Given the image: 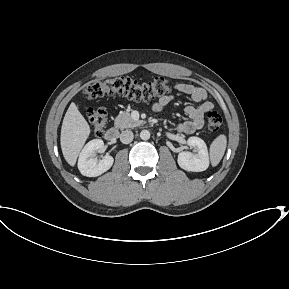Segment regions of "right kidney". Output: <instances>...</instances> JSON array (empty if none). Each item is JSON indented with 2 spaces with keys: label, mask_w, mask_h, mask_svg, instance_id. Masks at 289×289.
<instances>
[{
  "label": "right kidney",
  "mask_w": 289,
  "mask_h": 289,
  "mask_svg": "<svg viewBox=\"0 0 289 289\" xmlns=\"http://www.w3.org/2000/svg\"><path fill=\"white\" fill-rule=\"evenodd\" d=\"M103 146L104 143L101 139H94L89 141L82 149L78 160V169L82 175L96 177L111 168L114 162L111 155H105L102 160L95 158V153Z\"/></svg>",
  "instance_id": "ca27d5eb"
}]
</instances>
